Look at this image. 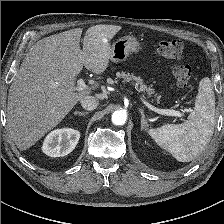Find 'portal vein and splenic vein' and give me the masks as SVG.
<instances>
[{"label":"portal vein and splenic vein","instance_id":"1","mask_svg":"<svg viewBox=\"0 0 224 224\" xmlns=\"http://www.w3.org/2000/svg\"><path fill=\"white\" fill-rule=\"evenodd\" d=\"M87 88V85L85 84L84 80L82 78L77 80V86L74 88L75 90L82 91ZM143 103L151 110L167 116H176L179 117L182 120L183 114L179 111L172 110V109H158L152 105H150L148 102L143 100Z\"/></svg>","mask_w":224,"mask_h":224}]
</instances>
